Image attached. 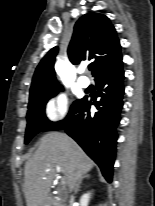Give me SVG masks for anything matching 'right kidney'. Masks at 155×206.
<instances>
[{"instance_id": "obj_1", "label": "right kidney", "mask_w": 155, "mask_h": 206, "mask_svg": "<svg viewBox=\"0 0 155 206\" xmlns=\"http://www.w3.org/2000/svg\"><path fill=\"white\" fill-rule=\"evenodd\" d=\"M90 196H91L90 192L83 194L80 198V206H88Z\"/></svg>"}]
</instances>
